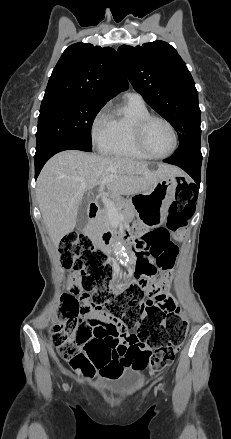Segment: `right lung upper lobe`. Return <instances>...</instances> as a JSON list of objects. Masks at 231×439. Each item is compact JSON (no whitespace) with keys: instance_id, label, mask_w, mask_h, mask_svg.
I'll list each match as a JSON object with an SVG mask.
<instances>
[{"instance_id":"obj_1","label":"right lung upper lobe","mask_w":231,"mask_h":439,"mask_svg":"<svg viewBox=\"0 0 231 439\" xmlns=\"http://www.w3.org/2000/svg\"><path fill=\"white\" fill-rule=\"evenodd\" d=\"M127 88L128 82L113 48L79 42L63 52L42 103L63 99L106 103Z\"/></svg>"}]
</instances>
